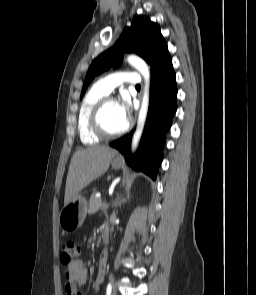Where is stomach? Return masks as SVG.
<instances>
[{
  "mask_svg": "<svg viewBox=\"0 0 256 295\" xmlns=\"http://www.w3.org/2000/svg\"><path fill=\"white\" fill-rule=\"evenodd\" d=\"M111 165L114 169L122 166V160L115 156L112 158ZM88 204L86 199L78 194L68 204L64 205L59 215L60 226L67 232L79 229L86 217Z\"/></svg>",
  "mask_w": 256,
  "mask_h": 295,
  "instance_id": "stomach-1",
  "label": "stomach"
}]
</instances>
